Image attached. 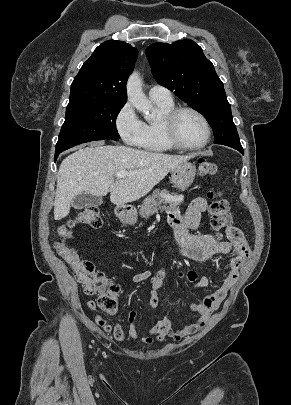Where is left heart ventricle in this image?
<instances>
[{"instance_id":"left-heart-ventricle-1","label":"left heart ventricle","mask_w":291,"mask_h":405,"mask_svg":"<svg viewBox=\"0 0 291 405\" xmlns=\"http://www.w3.org/2000/svg\"><path fill=\"white\" fill-rule=\"evenodd\" d=\"M177 131L180 140L190 146L200 145L206 139L203 122L190 112H185L180 116Z\"/></svg>"}]
</instances>
